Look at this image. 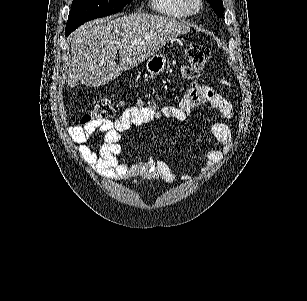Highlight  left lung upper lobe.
<instances>
[{
    "instance_id": "5c2ea615",
    "label": "left lung upper lobe",
    "mask_w": 307,
    "mask_h": 301,
    "mask_svg": "<svg viewBox=\"0 0 307 301\" xmlns=\"http://www.w3.org/2000/svg\"><path fill=\"white\" fill-rule=\"evenodd\" d=\"M211 7L213 8V10L215 11V13L219 16V17H223V2L222 0H207Z\"/></svg>"
}]
</instances>
